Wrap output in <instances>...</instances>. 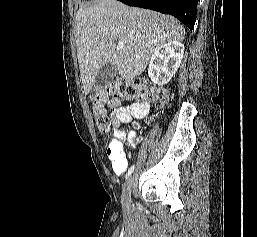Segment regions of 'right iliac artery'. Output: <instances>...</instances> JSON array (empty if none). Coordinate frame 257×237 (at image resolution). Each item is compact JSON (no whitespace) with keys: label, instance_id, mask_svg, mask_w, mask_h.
I'll use <instances>...</instances> for the list:
<instances>
[{"label":"right iliac artery","instance_id":"right-iliac-artery-1","mask_svg":"<svg viewBox=\"0 0 257 237\" xmlns=\"http://www.w3.org/2000/svg\"><path fill=\"white\" fill-rule=\"evenodd\" d=\"M135 166H131L130 169L128 170V173L126 174V178L131 175V173L134 171Z\"/></svg>","mask_w":257,"mask_h":237}]
</instances>
